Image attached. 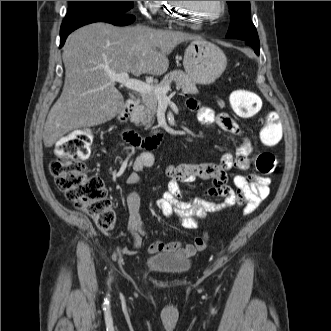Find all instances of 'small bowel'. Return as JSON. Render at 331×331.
<instances>
[{
	"mask_svg": "<svg viewBox=\"0 0 331 331\" xmlns=\"http://www.w3.org/2000/svg\"><path fill=\"white\" fill-rule=\"evenodd\" d=\"M188 106L196 112L200 124L215 125L221 131L231 135L235 141V152L224 153L217 164L168 165L166 168V175L170 179L168 189L157 200V207L165 216L176 215L182 226L189 229L196 228L198 222L209 213L227 207L244 206L245 214L252 213L270 193L269 178L258 174L236 175L233 178L234 187L227 184V171L232 168L239 170L250 168L253 153L251 141L242 135L239 125L228 114L215 113L208 107L199 106L193 100L188 102ZM237 138L240 139L237 140ZM153 162L154 157L150 152L139 154L133 162V171L127 176L126 182L130 185H138L141 182L140 173L150 168ZM198 178L210 181L205 197H220L223 202L214 203L200 196L186 198L180 184H191ZM126 205L129 213L128 231L133 243L130 248H124L122 253L132 255L139 250L142 237L151 229L146 227L141 220V200L136 190L128 193ZM196 250L197 248L193 244L158 240L149 246L148 253L176 252L184 257H191Z\"/></svg>",
	"mask_w": 331,
	"mask_h": 331,
	"instance_id": "1",
	"label": "small bowel"
}]
</instances>
